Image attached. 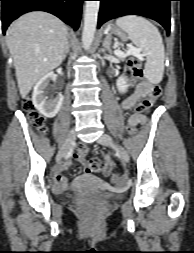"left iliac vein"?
<instances>
[{"mask_svg": "<svg viewBox=\"0 0 194 253\" xmlns=\"http://www.w3.org/2000/svg\"><path fill=\"white\" fill-rule=\"evenodd\" d=\"M97 142L101 145L112 147L118 153L123 163L129 162V155L127 151L122 146L115 143L111 136L102 134Z\"/></svg>", "mask_w": 194, "mask_h": 253, "instance_id": "4c4485c4", "label": "left iliac vein"}]
</instances>
